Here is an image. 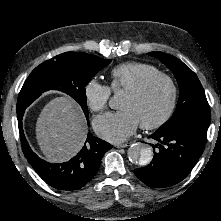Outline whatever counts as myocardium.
I'll return each mask as SVG.
<instances>
[{"mask_svg": "<svg viewBox=\"0 0 221 221\" xmlns=\"http://www.w3.org/2000/svg\"><path fill=\"white\" fill-rule=\"evenodd\" d=\"M157 80H163L167 83L170 89L169 102L166 107V110L157 120L153 122H149V123L140 124L141 128L144 130H152V129L159 128L171 118L176 108V104H177V98H178L177 86L174 80L169 75L158 72V73L147 76L146 78L141 80L138 84L126 90V93H129L130 95L140 96Z\"/></svg>", "mask_w": 221, "mask_h": 221, "instance_id": "1", "label": "myocardium"}]
</instances>
